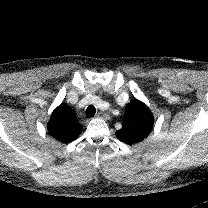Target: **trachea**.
<instances>
[{
  "label": "trachea",
  "mask_w": 208,
  "mask_h": 208,
  "mask_svg": "<svg viewBox=\"0 0 208 208\" xmlns=\"http://www.w3.org/2000/svg\"><path fill=\"white\" fill-rule=\"evenodd\" d=\"M95 113H96V108L93 105H89L86 109V116L94 117Z\"/></svg>",
  "instance_id": "obj_1"
}]
</instances>
